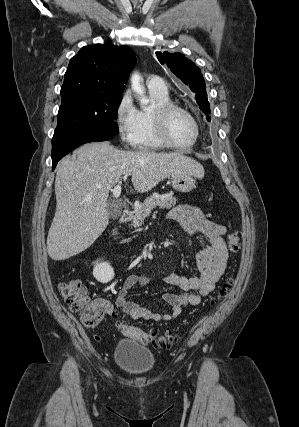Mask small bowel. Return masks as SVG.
<instances>
[{
    "mask_svg": "<svg viewBox=\"0 0 299 427\" xmlns=\"http://www.w3.org/2000/svg\"><path fill=\"white\" fill-rule=\"evenodd\" d=\"M167 218L178 221L187 233L201 235L209 240V248L201 251L196 257L198 274L192 277L167 274L164 277L168 284L183 291L181 294L171 292L162 294L163 301L170 307L165 313L153 312L126 298L133 287L146 285L150 280L147 275H129L119 289L114 304L106 299L97 300L96 304L107 315L115 316L116 307H120L135 320L170 321L178 318L184 307L200 304L202 299L214 290L228 260L224 240L226 228L206 217L198 207L191 204H180L172 208Z\"/></svg>",
    "mask_w": 299,
    "mask_h": 427,
    "instance_id": "small-bowel-1",
    "label": "small bowel"
}]
</instances>
